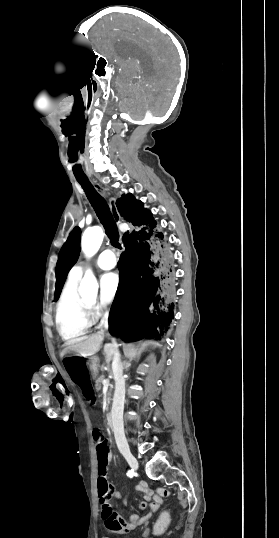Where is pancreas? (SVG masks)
<instances>
[{"label":"pancreas","mask_w":279,"mask_h":538,"mask_svg":"<svg viewBox=\"0 0 279 538\" xmlns=\"http://www.w3.org/2000/svg\"><path fill=\"white\" fill-rule=\"evenodd\" d=\"M91 360H94V358H91ZM96 360H97V362H98V358H96ZM103 380H104L103 376H100V378H97V380H96V382H95V386H96V390H97V392H100V390H101V388H102V384H101V382H103ZM112 388H113V386H112V384H111V386H110V390H109V392H108V394H107V396H108V398H107V400H108V404H110V400H111V396H112Z\"/></svg>","instance_id":"pancreas-1"}]
</instances>
